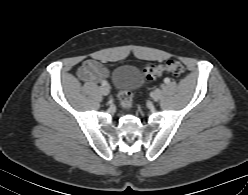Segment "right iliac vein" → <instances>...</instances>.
Here are the masks:
<instances>
[{"instance_id": "1", "label": "right iliac vein", "mask_w": 248, "mask_h": 195, "mask_svg": "<svg viewBox=\"0 0 248 195\" xmlns=\"http://www.w3.org/2000/svg\"><path fill=\"white\" fill-rule=\"evenodd\" d=\"M100 92H101L103 95L106 96V95L109 94L110 89H109V87H108L107 85L101 86V87H100Z\"/></svg>"}]
</instances>
